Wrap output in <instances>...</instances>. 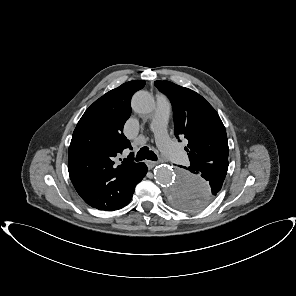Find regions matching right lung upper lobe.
<instances>
[{"instance_id": "obj_1", "label": "right lung upper lobe", "mask_w": 296, "mask_h": 296, "mask_svg": "<svg viewBox=\"0 0 296 296\" xmlns=\"http://www.w3.org/2000/svg\"><path fill=\"white\" fill-rule=\"evenodd\" d=\"M145 81L133 80L96 100L79 120L69 146V176L80 197L91 207L113 211L126 206L132 195L133 157L115 165L114 158L129 140L122 133L130 117L132 95ZM121 160V159H120Z\"/></svg>"}]
</instances>
